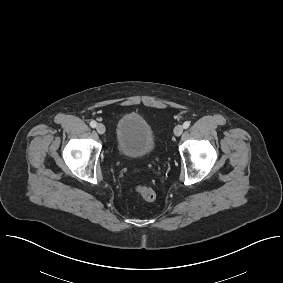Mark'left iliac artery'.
I'll return each mask as SVG.
<instances>
[{
    "label": "left iliac artery",
    "instance_id": "1",
    "mask_svg": "<svg viewBox=\"0 0 283 283\" xmlns=\"http://www.w3.org/2000/svg\"><path fill=\"white\" fill-rule=\"evenodd\" d=\"M189 126H190V122H188V121L184 122L183 127L185 129H187Z\"/></svg>",
    "mask_w": 283,
    "mask_h": 283
}]
</instances>
